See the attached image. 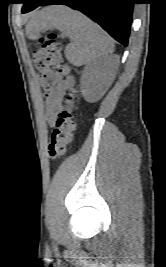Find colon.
<instances>
[{
  "label": "colon",
  "mask_w": 166,
  "mask_h": 267,
  "mask_svg": "<svg viewBox=\"0 0 166 267\" xmlns=\"http://www.w3.org/2000/svg\"><path fill=\"white\" fill-rule=\"evenodd\" d=\"M39 42L40 48L34 53L33 62L40 73L43 89L46 93H51L59 77L69 73V67L63 61L57 34L50 33L41 38ZM50 68H54L56 71H52ZM66 102L67 106L58 114L48 145L49 156L54 160L64 155L75 131L74 95H68Z\"/></svg>",
  "instance_id": "obj_1"
}]
</instances>
